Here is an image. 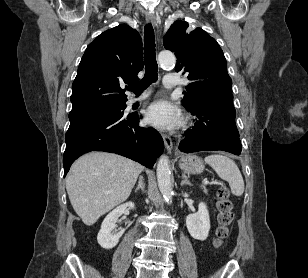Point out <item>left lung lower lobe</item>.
Returning a JSON list of instances; mask_svg holds the SVG:
<instances>
[{
    "mask_svg": "<svg viewBox=\"0 0 308 278\" xmlns=\"http://www.w3.org/2000/svg\"><path fill=\"white\" fill-rule=\"evenodd\" d=\"M189 111L198 119L195 127L185 132L187 137L179 145L182 152L223 150L235 155L241 153L232 93L212 96Z\"/></svg>",
    "mask_w": 308,
    "mask_h": 278,
    "instance_id": "0a47b994",
    "label": "left lung lower lobe"
}]
</instances>
